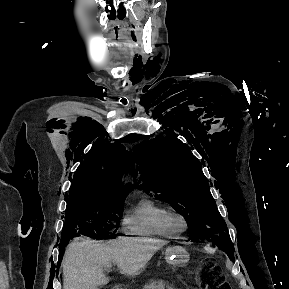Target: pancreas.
Segmentation results:
<instances>
[{
    "label": "pancreas",
    "instance_id": "1",
    "mask_svg": "<svg viewBox=\"0 0 289 289\" xmlns=\"http://www.w3.org/2000/svg\"><path fill=\"white\" fill-rule=\"evenodd\" d=\"M143 289H172L162 280H152L145 284Z\"/></svg>",
    "mask_w": 289,
    "mask_h": 289
}]
</instances>
